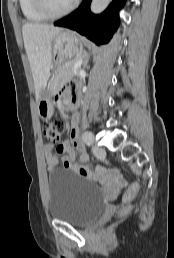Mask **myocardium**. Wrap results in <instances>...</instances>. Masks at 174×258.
I'll return each mask as SVG.
<instances>
[{
	"label": "myocardium",
	"mask_w": 174,
	"mask_h": 258,
	"mask_svg": "<svg viewBox=\"0 0 174 258\" xmlns=\"http://www.w3.org/2000/svg\"><path fill=\"white\" fill-rule=\"evenodd\" d=\"M34 3L38 11L41 12L44 16L47 18L55 19L70 13L77 6L78 0L72 1L70 5L60 11H55L50 6L48 0H34Z\"/></svg>",
	"instance_id": "f54148a6"
}]
</instances>
